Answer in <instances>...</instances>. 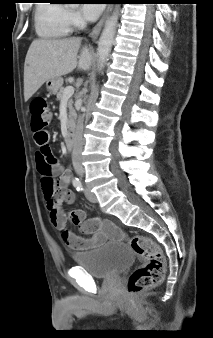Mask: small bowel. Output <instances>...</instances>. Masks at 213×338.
Wrapping results in <instances>:
<instances>
[{
    "label": "small bowel",
    "mask_w": 213,
    "mask_h": 338,
    "mask_svg": "<svg viewBox=\"0 0 213 338\" xmlns=\"http://www.w3.org/2000/svg\"><path fill=\"white\" fill-rule=\"evenodd\" d=\"M43 154L46 157H51L57 160V164L53 165L54 172L57 173L59 179V188L61 191V201L66 203H73L75 200V194L68 190V185L70 182V172L65 170L62 165L59 163L50 148L45 145L43 147ZM72 219L74 222L81 225L82 231L86 235L81 237L75 235L71 232H67L63 240L67 244L68 248L74 252H81L90 250L94 243L99 241H104L107 239L110 240H119L121 239L120 230L112 223L110 220H101L99 218H92L86 220L85 212L80 209L73 210L71 213ZM68 221V215L62 208H57L55 215V222L53 223L60 230H66V225ZM94 223L100 224L101 227L94 228L92 225Z\"/></svg>",
    "instance_id": "1"
}]
</instances>
